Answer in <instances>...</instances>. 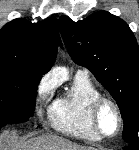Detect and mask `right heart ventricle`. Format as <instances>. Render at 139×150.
<instances>
[{"instance_id": "1", "label": "right heart ventricle", "mask_w": 139, "mask_h": 150, "mask_svg": "<svg viewBox=\"0 0 139 150\" xmlns=\"http://www.w3.org/2000/svg\"><path fill=\"white\" fill-rule=\"evenodd\" d=\"M99 96V90L88 76L76 74L70 88L48 106L49 124L55 130L71 136L100 140L89 118L90 106Z\"/></svg>"}]
</instances>
